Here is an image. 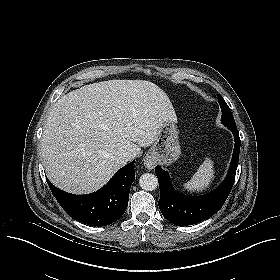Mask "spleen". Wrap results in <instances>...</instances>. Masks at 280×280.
Returning <instances> with one entry per match:
<instances>
[{
  "mask_svg": "<svg viewBox=\"0 0 280 280\" xmlns=\"http://www.w3.org/2000/svg\"><path fill=\"white\" fill-rule=\"evenodd\" d=\"M215 178L214 162L206 157L193 177L185 183L184 189L189 192H202L210 187Z\"/></svg>",
  "mask_w": 280,
  "mask_h": 280,
  "instance_id": "1",
  "label": "spleen"
}]
</instances>
